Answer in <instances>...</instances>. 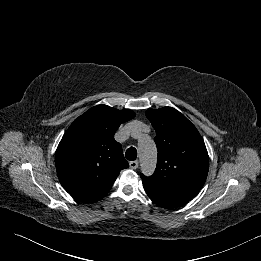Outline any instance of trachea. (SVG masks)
<instances>
[{
    "mask_svg": "<svg viewBox=\"0 0 261 261\" xmlns=\"http://www.w3.org/2000/svg\"><path fill=\"white\" fill-rule=\"evenodd\" d=\"M125 157L129 161H134L136 159V157H137V150H136V148H134V147L128 148L126 150Z\"/></svg>",
    "mask_w": 261,
    "mask_h": 261,
    "instance_id": "1",
    "label": "trachea"
}]
</instances>
